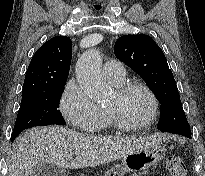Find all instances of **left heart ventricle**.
<instances>
[{
    "mask_svg": "<svg viewBox=\"0 0 205 176\" xmlns=\"http://www.w3.org/2000/svg\"><path fill=\"white\" fill-rule=\"evenodd\" d=\"M107 108L116 109L125 122L138 124L148 119L152 105L146 93L135 90L123 97L115 93Z\"/></svg>",
    "mask_w": 205,
    "mask_h": 176,
    "instance_id": "left-heart-ventricle-1",
    "label": "left heart ventricle"
}]
</instances>
